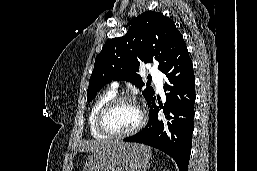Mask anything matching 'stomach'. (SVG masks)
Wrapping results in <instances>:
<instances>
[{
	"label": "stomach",
	"instance_id": "obj_1",
	"mask_svg": "<svg viewBox=\"0 0 257 171\" xmlns=\"http://www.w3.org/2000/svg\"><path fill=\"white\" fill-rule=\"evenodd\" d=\"M150 157L143 145L116 141L92 151L83 171H146Z\"/></svg>",
	"mask_w": 257,
	"mask_h": 171
}]
</instances>
